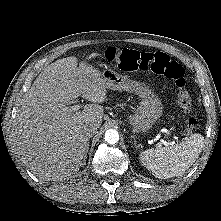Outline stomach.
Masks as SVG:
<instances>
[{"label": "stomach", "instance_id": "obj_1", "mask_svg": "<svg viewBox=\"0 0 221 221\" xmlns=\"http://www.w3.org/2000/svg\"><path fill=\"white\" fill-rule=\"evenodd\" d=\"M103 79L111 90L127 91L139 96L140 103L134 114L129 116V124L133 132H148L163 114L160 98L144 82L133 80L113 70L104 71Z\"/></svg>", "mask_w": 221, "mask_h": 221}]
</instances>
